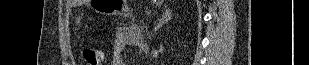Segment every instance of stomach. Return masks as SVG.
I'll return each instance as SVG.
<instances>
[{"mask_svg": "<svg viewBox=\"0 0 309 65\" xmlns=\"http://www.w3.org/2000/svg\"><path fill=\"white\" fill-rule=\"evenodd\" d=\"M93 4L98 13L104 15H121L126 11L127 0H93Z\"/></svg>", "mask_w": 309, "mask_h": 65, "instance_id": "0dacf381", "label": "stomach"}]
</instances>
